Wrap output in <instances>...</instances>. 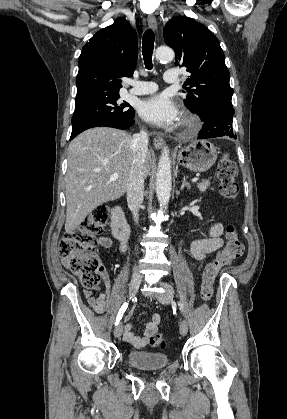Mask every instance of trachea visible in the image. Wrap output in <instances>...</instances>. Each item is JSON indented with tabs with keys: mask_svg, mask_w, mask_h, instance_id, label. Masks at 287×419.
<instances>
[{
	"mask_svg": "<svg viewBox=\"0 0 287 419\" xmlns=\"http://www.w3.org/2000/svg\"><path fill=\"white\" fill-rule=\"evenodd\" d=\"M155 36L152 30H147L142 39V53L145 66L148 70L152 69V54L154 49Z\"/></svg>",
	"mask_w": 287,
	"mask_h": 419,
	"instance_id": "trachea-1",
	"label": "trachea"
}]
</instances>
